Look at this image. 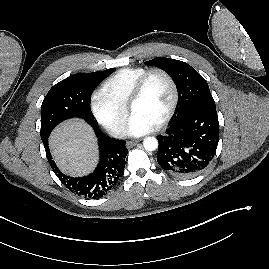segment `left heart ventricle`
Instances as JSON below:
<instances>
[{
  "mask_svg": "<svg viewBox=\"0 0 269 269\" xmlns=\"http://www.w3.org/2000/svg\"><path fill=\"white\" fill-rule=\"evenodd\" d=\"M172 100V90L168 80L160 75H153L142 95L134 104L132 114H137L155 126L166 114Z\"/></svg>",
  "mask_w": 269,
  "mask_h": 269,
  "instance_id": "obj_1",
  "label": "left heart ventricle"
}]
</instances>
